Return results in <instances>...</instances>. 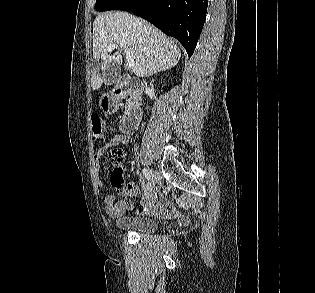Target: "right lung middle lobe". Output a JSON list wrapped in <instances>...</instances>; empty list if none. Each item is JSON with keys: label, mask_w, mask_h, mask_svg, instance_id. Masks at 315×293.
Masks as SVG:
<instances>
[{"label": "right lung middle lobe", "mask_w": 315, "mask_h": 293, "mask_svg": "<svg viewBox=\"0 0 315 293\" xmlns=\"http://www.w3.org/2000/svg\"><path fill=\"white\" fill-rule=\"evenodd\" d=\"M122 0H96V10L98 11H107L111 10Z\"/></svg>", "instance_id": "1"}]
</instances>
